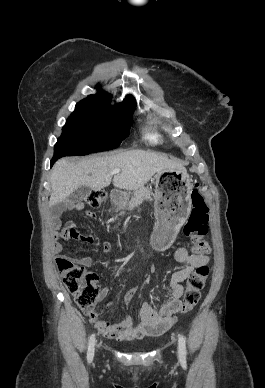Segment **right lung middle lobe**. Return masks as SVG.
Returning <instances> with one entry per match:
<instances>
[{
    "label": "right lung middle lobe",
    "instance_id": "1",
    "mask_svg": "<svg viewBox=\"0 0 265 388\" xmlns=\"http://www.w3.org/2000/svg\"><path fill=\"white\" fill-rule=\"evenodd\" d=\"M135 105L112 107L108 98H86L76 104L55 145L54 156H83L115 149L128 136Z\"/></svg>",
    "mask_w": 265,
    "mask_h": 388
}]
</instances>
